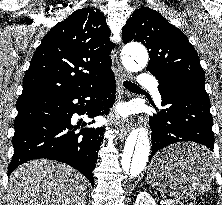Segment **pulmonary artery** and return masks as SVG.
Returning <instances> with one entry per match:
<instances>
[{
	"label": "pulmonary artery",
	"instance_id": "obj_1",
	"mask_svg": "<svg viewBox=\"0 0 222 205\" xmlns=\"http://www.w3.org/2000/svg\"><path fill=\"white\" fill-rule=\"evenodd\" d=\"M138 83L141 87L150 89L156 100L161 102V95L157 89V79L153 75L147 73L141 74Z\"/></svg>",
	"mask_w": 222,
	"mask_h": 205
}]
</instances>
